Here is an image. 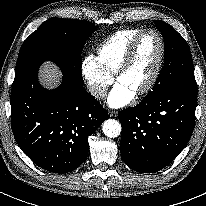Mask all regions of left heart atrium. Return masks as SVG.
I'll use <instances>...</instances> for the list:
<instances>
[{
	"label": "left heart atrium",
	"instance_id": "left-heart-atrium-1",
	"mask_svg": "<svg viewBox=\"0 0 206 206\" xmlns=\"http://www.w3.org/2000/svg\"><path fill=\"white\" fill-rule=\"evenodd\" d=\"M135 93L124 84L117 82L108 95L107 103L112 108H121L129 104Z\"/></svg>",
	"mask_w": 206,
	"mask_h": 206
}]
</instances>
